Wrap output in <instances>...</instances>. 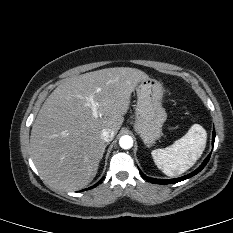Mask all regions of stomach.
<instances>
[{"instance_id":"0dacf381","label":"stomach","mask_w":233,"mask_h":233,"mask_svg":"<svg viewBox=\"0 0 233 233\" xmlns=\"http://www.w3.org/2000/svg\"><path fill=\"white\" fill-rule=\"evenodd\" d=\"M162 84L151 78L142 80L136 87L137 104L134 130L147 146H151L162 135V126L167 113L162 106Z\"/></svg>"}]
</instances>
